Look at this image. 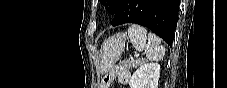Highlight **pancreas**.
Masks as SVG:
<instances>
[{
  "label": "pancreas",
  "instance_id": "pancreas-1",
  "mask_svg": "<svg viewBox=\"0 0 227 88\" xmlns=\"http://www.w3.org/2000/svg\"><path fill=\"white\" fill-rule=\"evenodd\" d=\"M143 62V59H127L122 61V65L126 66L128 69H133L141 65Z\"/></svg>",
  "mask_w": 227,
  "mask_h": 88
}]
</instances>
